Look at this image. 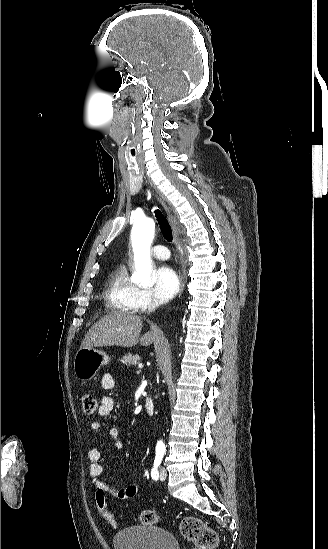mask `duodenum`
Wrapping results in <instances>:
<instances>
[{
    "label": "duodenum",
    "instance_id": "410a0bca",
    "mask_svg": "<svg viewBox=\"0 0 328 549\" xmlns=\"http://www.w3.org/2000/svg\"><path fill=\"white\" fill-rule=\"evenodd\" d=\"M145 409L148 414H153L155 410V404L151 397L145 399Z\"/></svg>",
    "mask_w": 328,
    "mask_h": 549
}]
</instances>
